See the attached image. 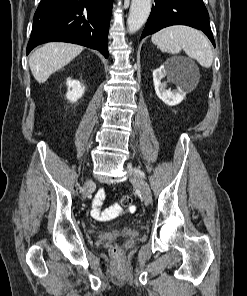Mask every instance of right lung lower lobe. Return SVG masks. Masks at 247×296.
Returning <instances> with one entry per match:
<instances>
[{"mask_svg":"<svg viewBox=\"0 0 247 296\" xmlns=\"http://www.w3.org/2000/svg\"><path fill=\"white\" fill-rule=\"evenodd\" d=\"M113 0H41L27 54L37 45L63 41L100 51L108 58L107 35Z\"/></svg>","mask_w":247,"mask_h":296,"instance_id":"right-lung-lower-lobe-1","label":"right lung lower lobe"}]
</instances>
